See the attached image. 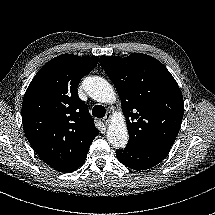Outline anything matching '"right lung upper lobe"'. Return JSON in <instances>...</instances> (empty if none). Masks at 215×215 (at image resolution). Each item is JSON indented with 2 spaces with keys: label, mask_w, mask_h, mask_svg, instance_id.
I'll return each instance as SVG.
<instances>
[{
  "label": "right lung upper lobe",
  "mask_w": 215,
  "mask_h": 215,
  "mask_svg": "<svg viewBox=\"0 0 215 215\" xmlns=\"http://www.w3.org/2000/svg\"><path fill=\"white\" fill-rule=\"evenodd\" d=\"M99 57L63 54L47 62L29 84L22 103L25 135L40 158L60 172L80 167L99 134L77 94L80 80Z\"/></svg>",
  "instance_id": "obj_1"
}]
</instances>
